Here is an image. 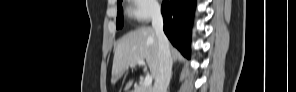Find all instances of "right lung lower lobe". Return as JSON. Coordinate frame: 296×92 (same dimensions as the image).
<instances>
[{
  "mask_svg": "<svg viewBox=\"0 0 296 92\" xmlns=\"http://www.w3.org/2000/svg\"><path fill=\"white\" fill-rule=\"evenodd\" d=\"M196 0L163 1L164 32L180 52L190 57V32Z\"/></svg>",
  "mask_w": 296,
  "mask_h": 92,
  "instance_id": "obj_1",
  "label": "right lung lower lobe"
}]
</instances>
